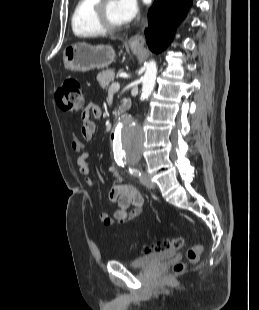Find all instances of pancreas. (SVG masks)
<instances>
[{"label":"pancreas","mask_w":259,"mask_h":310,"mask_svg":"<svg viewBox=\"0 0 259 310\" xmlns=\"http://www.w3.org/2000/svg\"><path fill=\"white\" fill-rule=\"evenodd\" d=\"M114 77L115 74L113 70H106L98 74L97 80L103 89H107L109 83L114 81Z\"/></svg>","instance_id":"cf45deb5"}]
</instances>
